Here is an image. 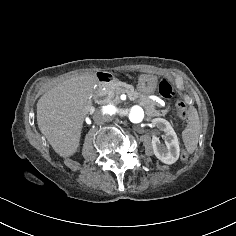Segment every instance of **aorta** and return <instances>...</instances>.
<instances>
[{
    "instance_id": "aorta-1",
    "label": "aorta",
    "mask_w": 236,
    "mask_h": 236,
    "mask_svg": "<svg viewBox=\"0 0 236 236\" xmlns=\"http://www.w3.org/2000/svg\"><path fill=\"white\" fill-rule=\"evenodd\" d=\"M103 114L107 116L119 114L127 117L132 123L138 124L145 119V110L140 106L118 108L114 104H108L101 108Z\"/></svg>"
}]
</instances>
